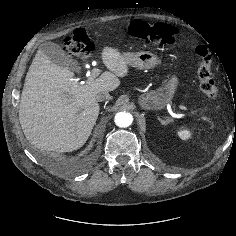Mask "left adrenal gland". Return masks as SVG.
Instances as JSON below:
<instances>
[{"mask_svg": "<svg viewBox=\"0 0 236 236\" xmlns=\"http://www.w3.org/2000/svg\"><path fill=\"white\" fill-rule=\"evenodd\" d=\"M158 120H159L162 124H164V125H166V124H168V123H170V122L173 121V120L170 119V118H165V120H163V119L160 118L159 116H158Z\"/></svg>", "mask_w": 236, "mask_h": 236, "instance_id": "1", "label": "left adrenal gland"}]
</instances>
